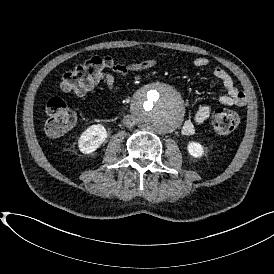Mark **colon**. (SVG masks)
<instances>
[{"instance_id": "obj_1", "label": "colon", "mask_w": 274, "mask_h": 274, "mask_svg": "<svg viewBox=\"0 0 274 274\" xmlns=\"http://www.w3.org/2000/svg\"><path fill=\"white\" fill-rule=\"evenodd\" d=\"M120 67L108 57H92L63 74L60 86L65 93L85 85L90 79L102 72H119ZM49 118L45 132L49 138H59L67 133L75 124L76 114L68 108L66 99L52 96L46 104ZM239 125L237 112L219 109L212 116V127L216 134L227 136L233 133Z\"/></svg>"}]
</instances>
